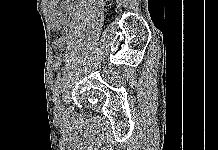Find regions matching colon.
I'll return each mask as SVG.
<instances>
[{
    "label": "colon",
    "mask_w": 218,
    "mask_h": 150,
    "mask_svg": "<svg viewBox=\"0 0 218 150\" xmlns=\"http://www.w3.org/2000/svg\"><path fill=\"white\" fill-rule=\"evenodd\" d=\"M107 2H110V0H107ZM66 48V38L64 35H58L52 45L51 49V59L53 62H58L65 51Z\"/></svg>",
    "instance_id": "colon-1"
}]
</instances>
